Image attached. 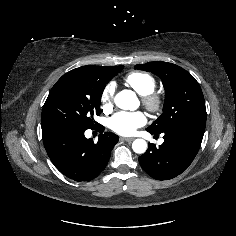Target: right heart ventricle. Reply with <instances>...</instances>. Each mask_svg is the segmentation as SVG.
Instances as JSON below:
<instances>
[{"label":"right heart ventricle","mask_w":236,"mask_h":236,"mask_svg":"<svg viewBox=\"0 0 236 236\" xmlns=\"http://www.w3.org/2000/svg\"><path fill=\"white\" fill-rule=\"evenodd\" d=\"M127 86L132 88L139 95H145L154 91L156 82L153 76L146 72H131L124 78Z\"/></svg>","instance_id":"e07e8e85"}]
</instances>
